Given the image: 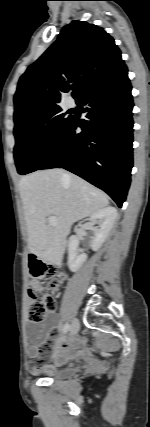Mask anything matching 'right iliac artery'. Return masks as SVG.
Here are the masks:
<instances>
[{
    "label": "right iliac artery",
    "instance_id": "right-iliac-artery-1",
    "mask_svg": "<svg viewBox=\"0 0 150 427\" xmlns=\"http://www.w3.org/2000/svg\"><path fill=\"white\" fill-rule=\"evenodd\" d=\"M69 328H70L69 324H68V323H66V324L64 325V327H63V331H64V333H66V332L69 330Z\"/></svg>",
    "mask_w": 150,
    "mask_h": 427
}]
</instances>
